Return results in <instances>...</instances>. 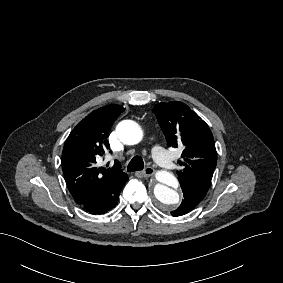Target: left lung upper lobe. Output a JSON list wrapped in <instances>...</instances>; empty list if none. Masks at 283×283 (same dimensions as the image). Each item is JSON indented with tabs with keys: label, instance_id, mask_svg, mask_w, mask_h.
<instances>
[{
	"label": "left lung upper lobe",
	"instance_id": "1",
	"mask_svg": "<svg viewBox=\"0 0 283 283\" xmlns=\"http://www.w3.org/2000/svg\"><path fill=\"white\" fill-rule=\"evenodd\" d=\"M168 146L183 147L178 161L179 182H194L209 189L217 163L213 135L208 125L182 102L158 103L153 109Z\"/></svg>",
	"mask_w": 283,
	"mask_h": 283
}]
</instances>
